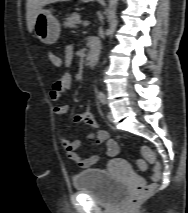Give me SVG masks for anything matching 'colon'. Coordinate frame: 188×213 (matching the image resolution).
Here are the masks:
<instances>
[{
	"label": "colon",
	"instance_id": "1",
	"mask_svg": "<svg viewBox=\"0 0 188 213\" xmlns=\"http://www.w3.org/2000/svg\"><path fill=\"white\" fill-rule=\"evenodd\" d=\"M48 56H49V59H51L56 65L59 64L55 54L50 52ZM141 153L145 156V158L150 163L155 165L152 177L153 179H157L160 175V166L157 162L155 153L147 146L141 147ZM137 169L139 171H144L146 169V164L143 161H138ZM151 191H152V186L139 185L131 197V200H130L131 204H139L140 202H142L145 198L149 196Z\"/></svg>",
	"mask_w": 188,
	"mask_h": 213
}]
</instances>
